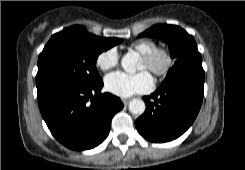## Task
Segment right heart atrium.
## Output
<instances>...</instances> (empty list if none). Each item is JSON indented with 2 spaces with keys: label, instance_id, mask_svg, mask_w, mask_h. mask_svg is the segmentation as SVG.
Masks as SVG:
<instances>
[{
  "label": "right heart atrium",
  "instance_id": "1",
  "mask_svg": "<svg viewBox=\"0 0 245 170\" xmlns=\"http://www.w3.org/2000/svg\"><path fill=\"white\" fill-rule=\"evenodd\" d=\"M120 55L115 48H109L102 51L96 58V65L101 70H109L118 65Z\"/></svg>",
  "mask_w": 245,
  "mask_h": 170
}]
</instances>
